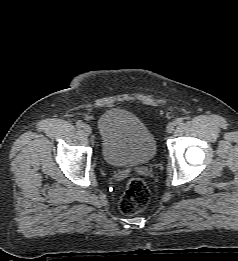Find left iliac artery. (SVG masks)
Wrapping results in <instances>:
<instances>
[{"instance_id": "1", "label": "left iliac artery", "mask_w": 238, "mask_h": 261, "mask_svg": "<svg viewBox=\"0 0 238 261\" xmlns=\"http://www.w3.org/2000/svg\"><path fill=\"white\" fill-rule=\"evenodd\" d=\"M176 125H181L183 123V118L179 117L175 120Z\"/></svg>"}]
</instances>
